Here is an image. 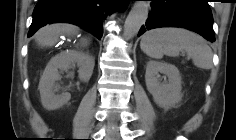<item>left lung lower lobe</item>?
<instances>
[{
  "mask_svg": "<svg viewBox=\"0 0 236 140\" xmlns=\"http://www.w3.org/2000/svg\"><path fill=\"white\" fill-rule=\"evenodd\" d=\"M159 27H182L215 41L208 0H151L149 17L138 36Z\"/></svg>",
  "mask_w": 236,
  "mask_h": 140,
  "instance_id": "left-lung-lower-lobe-1",
  "label": "left lung lower lobe"
}]
</instances>
